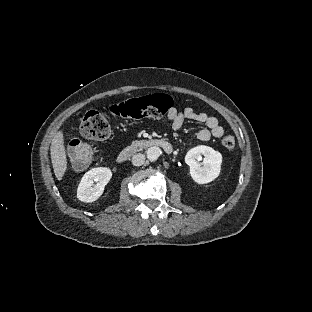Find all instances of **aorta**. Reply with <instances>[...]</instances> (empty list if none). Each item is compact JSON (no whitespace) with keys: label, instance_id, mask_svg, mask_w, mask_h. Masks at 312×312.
I'll return each instance as SVG.
<instances>
[{"label":"aorta","instance_id":"aorta-1","mask_svg":"<svg viewBox=\"0 0 312 312\" xmlns=\"http://www.w3.org/2000/svg\"><path fill=\"white\" fill-rule=\"evenodd\" d=\"M161 155V149L157 146H153V147H150L148 150H147V158L150 160V161H155L159 158V156Z\"/></svg>","mask_w":312,"mask_h":312}]
</instances>
